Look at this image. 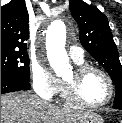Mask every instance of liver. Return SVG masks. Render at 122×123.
<instances>
[{"label": "liver", "instance_id": "obj_1", "mask_svg": "<svg viewBox=\"0 0 122 123\" xmlns=\"http://www.w3.org/2000/svg\"><path fill=\"white\" fill-rule=\"evenodd\" d=\"M86 112L56 106L30 92L1 96V123H78Z\"/></svg>", "mask_w": 122, "mask_h": 123}]
</instances>
